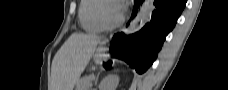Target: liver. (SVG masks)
I'll list each match as a JSON object with an SVG mask.
<instances>
[{"label": "liver", "mask_w": 228, "mask_h": 90, "mask_svg": "<svg viewBox=\"0 0 228 90\" xmlns=\"http://www.w3.org/2000/svg\"><path fill=\"white\" fill-rule=\"evenodd\" d=\"M100 42L97 35L71 34L54 56L52 90H73Z\"/></svg>", "instance_id": "6515ba94"}]
</instances>
